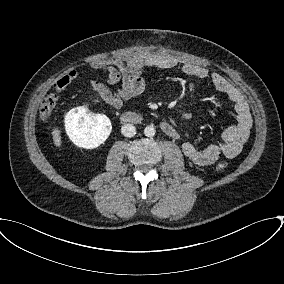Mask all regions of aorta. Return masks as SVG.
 Instances as JSON below:
<instances>
[{
	"mask_svg": "<svg viewBox=\"0 0 284 284\" xmlns=\"http://www.w3.org/2000/svg\"><path fill=\"white\" fill-rule=\"evenodd\" d=\"M155 128L153 126H146V128L144 129V134L146 137H153L155 135Z\"/></svg>",
	"mask_w": 284,
	"mask_h": 284,
	"instance_id": "obj_1",
	"label": "aorta"
}]
</instances>
